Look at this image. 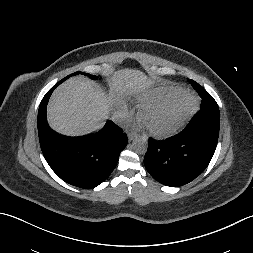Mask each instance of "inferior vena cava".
I'll return each mask as SVG.
<instances>
[{"label":"inferior vena cava","mask_w":253,"mask_h":253,"mask_svg":"<svg viewBox=\"0 0 253 253\" xmlns=\"http://www.w3.org/2000/svg\"><path fill=\"white\" fill-rule=\"evenodd\" d=\"M112 120L120 125H122L124 122L123 116L120 113L113 115Z\"/></svg>","instance_id":"inferior-vena-cava-1"}]
</instances>
